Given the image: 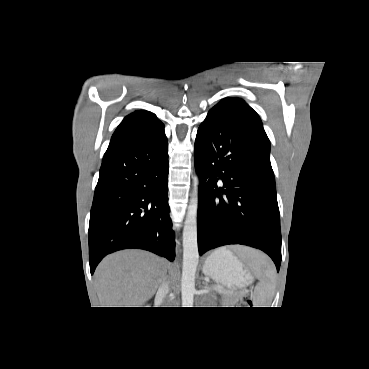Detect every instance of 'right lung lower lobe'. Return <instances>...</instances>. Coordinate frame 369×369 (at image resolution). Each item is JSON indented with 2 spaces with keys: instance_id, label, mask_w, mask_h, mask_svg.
Masks as SVG:
<instances>
[{
  "instance_id": "right-lung-lower-lobe-1",
  "label": "right lung lower lobe",
  "mask_w": 369,
  "mask_h": 369,
  "mask_svg": "<svg viewBox=\"0 0 369 369\" xmlns=\"http://www.w3.org/2000/svg\"><path fill=\"white\" fill-rule=\"evenodd\" d=\"M167 152L164 128L107 149L90 215L91 274L104 256L126 248L174 260Z\"/></svg>"
}]
</instances>
